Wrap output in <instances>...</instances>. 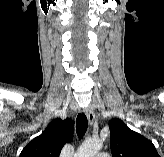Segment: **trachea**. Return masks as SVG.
Wrapping results in <instances>:
<instances>
[{
	"label": "trachea",
	"mask_w": 164,
	"mask_h": 157,
	"mask_svg": "<svg viewBox=\"0 0 164 157\" xmlns=\"http://www.w3.org/2000/svg\"><path fill=\"white\" fill-rule=\"evenodd\" d=\"M88 128V120L84 113L78 114L76 119V130L78 138L81 139L85 135Z\"/></svg>",
	"instance_id": "trachea-1"
}]
</instances>
